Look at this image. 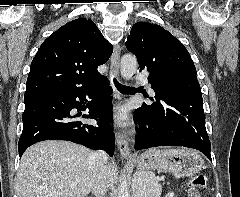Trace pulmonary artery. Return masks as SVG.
Returning a JSON list of instances; mask_svg holds the SVG:
<instances>
[{"label": "pulmonary artery", "mask_w": 240, "mask_h": 197, "mask_svg": "<svg viewBox=\"0 0 240 197\" xmlns=\"http://www.w3.org/2000/svg\"><path fill=\"white\" fill-rule=\"evenodd\" d=\"M137 76V75H136ZM143 83L145 84L146 86V89L149 93L153 94V90L151 88V85L147 82V81H143Z\"/></svg>", "instance_id": "obj_1"}]
</instances>
